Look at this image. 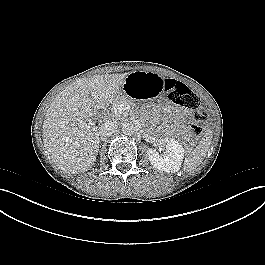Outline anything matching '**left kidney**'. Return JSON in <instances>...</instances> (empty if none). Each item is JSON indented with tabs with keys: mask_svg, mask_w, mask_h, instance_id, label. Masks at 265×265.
<instances>
[{
	"mask_svg": "<svg viewBox=\"0 0 265 265\" xmlns=\"http://www.w3.org/2000/svg\"><path fill=\"white\" fill-rule=\"evenodd\" d=\"M185 150L183 146L176 140H170L165 146L163 154L154 148L147 150V157L154 168L165 171L167 173H175L179 171Z\"/></svg>",
	"mask_w": 265,
	"mask_h": 265,
	"instance_id": "obj_1",
	"label": "left kidney"
}]
</instances>
